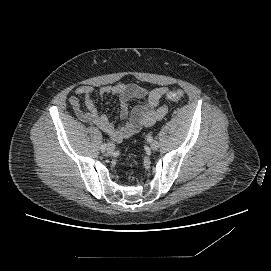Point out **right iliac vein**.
Returning <instances> with one entry per match:
<instances>
[{"instance_id": "right-iliac-vein-1", "label": "right iliac vein", "mask_w": 271, "mask_h": 271, "mask_svg": "<svg viewBox=\"0 0 271 271\" xmlns=\"http://www.w3.org/2000/svg\"><path fill=\"white\" fill-rule=\"evenodd\" d=\"M114 150H115V145L113 144V143H108V145H107V151L109 152V153H113L114 152Z\"/></svg>"}]
</instances>
